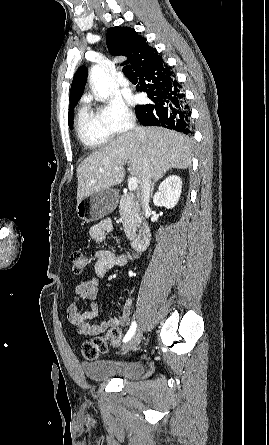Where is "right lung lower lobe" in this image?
<instances>
[{"mask_svg":"<svg viewBox=\"0 0 269 445\" xmlns=\"http://www.w3.org/2000/svg\"><path fill=\"white\" fill-rule=\"evenodd\" d=\"M137 91L146 92L152 103L136 106V116L144 126H162L186 135L193 134L182 86L160 56L135 71Z\"/></svg>","mask_w":269,"mask_h":445,"instance_id":"obj_1","label":"right lung lower lobe"}]
</instances>
